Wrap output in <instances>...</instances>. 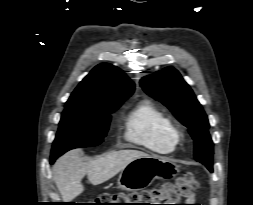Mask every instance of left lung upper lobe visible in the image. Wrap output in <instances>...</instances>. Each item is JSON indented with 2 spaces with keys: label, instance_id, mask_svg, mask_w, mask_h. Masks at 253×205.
<instances>
[{
  "label": "left lung upper lobe",
  "instance_id": "1",
  "mask_svg": "<svg viewBox=\"0 0 253 205\" xmlns=\"http://www.w3.org/2000/svg\"><path fill=\"white\" fill-rule=\"evenodd\" d=\"M144 91L167 106L189 129L194 139V157L213 170V142L208 133L209 122L189 85L173 67H167L140 81Z\"/></svg>",
  "mask_w": 253,
  "mask_h": 205
}]
</instances>
